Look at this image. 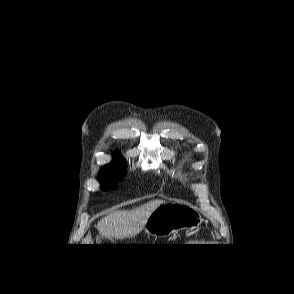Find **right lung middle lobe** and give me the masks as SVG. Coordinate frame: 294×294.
I'll list each match as a JSON object with an SVG mask.
<instances>
[{
    "instance_id": "obj_1",
    "label": "right lung middle lobe",
    "mask_w": 294,
    "mask_h": 294,
    "mask_svg": "<svg viewBox=\"0 0 294 294\" xmlns=\"http://www.w3.org/2000/svg\"><path fill=\"white\" fill-rule=\"evenodd\" d=\"M126 175V165L123 162H112L104 166L98 173L100 187L103 190H110L116 183L121 181Z\"/></svg>"
}]
</instances>
